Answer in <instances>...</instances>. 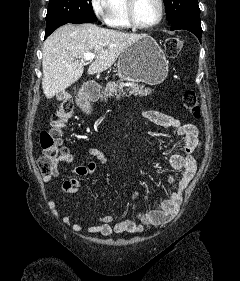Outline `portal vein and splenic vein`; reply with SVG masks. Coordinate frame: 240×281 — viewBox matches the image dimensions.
<instances>
[{"mask_svg": "<svg viewBox=\"0 0 240 281\" xmlns=\"http://www.w3.org/2000/svg\"><path fill=\"white\" fill-rule=\"evenodd\" d=\"M95 57L96 55L94 53H86L81 62L84 63L85 61H92Z\"/></svg>", "mask_w": 240, "mask_h": 281, "instance_id": "portal-vein-and-splenic-vein-1", "label": "portal vein and splenic vein"}]
</instances>
